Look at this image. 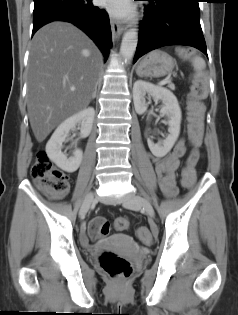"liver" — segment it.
<instances>
[{"instance_id":"1","label":"liver","mask_w":238,"mask_h":315,"mask_svg":"<svg viewBox=\"0 0 238 315\" xmlns=\"http://www.w3.org/2000/svg\"><path fill=\"white\" fill-rule=\"evenodd\" d=\"M101 64L100 51L74 25L57 21L37 31L28 62L27 109L38 142L89 105Z\"/></svg>"}]
</instances>
